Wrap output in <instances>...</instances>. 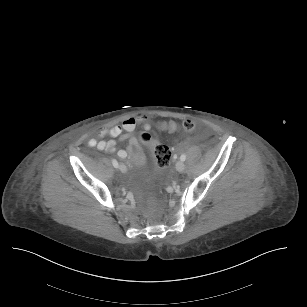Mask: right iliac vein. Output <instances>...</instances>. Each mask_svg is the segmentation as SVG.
Here are the masks:
<instances>
[{
  "instance_id": "obj_1",
  "label": "right iliac vein",
  "mask_w": 307,
  "mask_h": 307,
  "mask_svg": "<svg viewBox=\"0 0 307 307\" xmlns=\"http://www.w3.org/2000/svg\"><path fill=\"white\" fill-rule=\"evenodd\" d=\"M119 169H120L122 172H124V171H126V166H125L124 164H120V165H119Z\"/></svg>"
}]
</instances>
